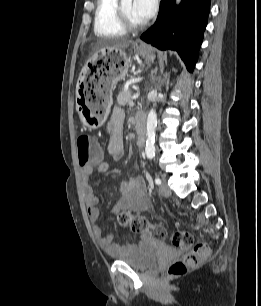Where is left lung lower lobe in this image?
<instances>
[{
	"instance_id": "0a47b994",
	"label": "left lung lower lobe",
	"mask_w": 261,
	"mask_h": 306,
	"mask_svg": "<svg viewBox=\"0 0 261 306\" xmlns=\"http://www.w3.org/2000/svg\"><path fill=\"white\" fill-rule=\"evenodd\" d=\"M211 0H162L154 25L141 39L161 49L176 50L189 71H193L207 25Z\"/></svg>"
}]
</instances>
